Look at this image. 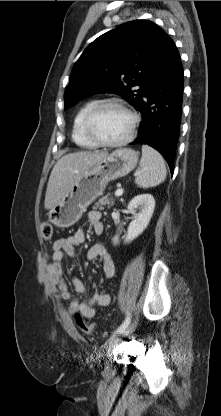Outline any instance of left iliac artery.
Segmentation results:
<instances>
[{
	"mask_svg": "<svg viewBox=\"0 0 221 416\" xmlns=\"http://www.w3.org/2000/svg\"><path fill=\"white\" fill-rule=\"evenodd\" d=\"M130 321H131V317H130V315L128 314V315H127V317H126V319L124 320V322H123V323L120 325V327H118V328H117V330L114 332V335H116V334H118V333L122 332L123 330H125V329L128 327V325H129Z\"/></svg>",
	"mask_w": 221,
	"mask_h": 416,
	"instance_id": "44dca946",
	"label": "left iliac artery"
}]
</instances>
